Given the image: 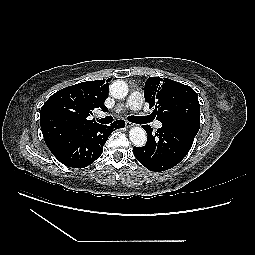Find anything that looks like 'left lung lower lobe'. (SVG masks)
I'll return each mask as SVG.
<instances>
[{
    "mask_svg": "<svg viewBox=\"0 0 255 255\" xmlns=\"http://www.w3.org/2000/svg\"><path fill=\"white\" fill-rule=\"evenodd\" d=\"M147 132V143L134 147L137 160L147 169L160 172L176 166L189 152L200 126L162 123L153 135L149 125H143Z\"/></svg>",
    "mask_w": 255,
    "mask_h": 255,
    "instance_id": "0a47b994",
    "label": "left lung lower lobe"
}]
</instances>
